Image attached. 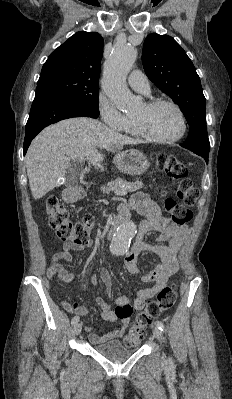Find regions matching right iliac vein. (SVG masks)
Instances as JSON below:
<instances>
[{
	"instance_id": "1",
	"label": "right iliac vein",
	"mask_w": 232,
	"mask_h": 399,
	"mask_svg": "<svg viewBox=\"0 0 232 399\" xmlns=\"http://www.w3.org/2000/svg\"><path fill=\"white\" fill-rule=\"evenodd\" d=\"M74 330H76V331H75V334H76V335H79L80 332H81V324H80V323H77L76 326L74 327Z\"/></svg>"
}]
</instances>
